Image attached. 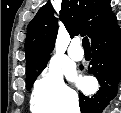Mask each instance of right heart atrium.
Instances as JSON below:
<instances>
[{"instance_id": "d8ad5b80", "label": "right heart atrium", "mask_w": 121, "mask_h": 113, "mask_svg": "<svg viewBox=\"0 0 121 113\" xmlns=\"http://www.w3.org/2000/svg\"><path fill=\"white\" fill-rule=\"evenodd\" d=\"M46 113H64L76 109V95L64 82L62 72L47 67L34 84L33 99Z\"/></svg>"}]
</instances>
